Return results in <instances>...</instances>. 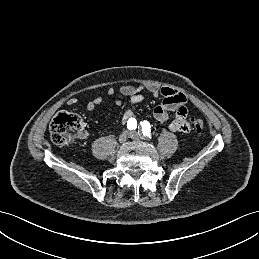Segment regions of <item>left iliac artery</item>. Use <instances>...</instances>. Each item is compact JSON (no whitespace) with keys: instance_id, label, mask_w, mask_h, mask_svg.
<instances>
[{"instance_id":"1","label":"left iliac artery","mask_w":259,"mask_h":259,"mask_svg":"<svg viewBox=\"0 0 259 259\" xmlns=\"http://www.w3.org/2000/svg\"><path fill=\"white\" fill-rule=\"evenodd\" d=\"M140 125H141V132H140V135L142 137H145V138H150L151 139V126H150V123L148 121H143V122H140Z\"/></svg>"}]
</instances>
